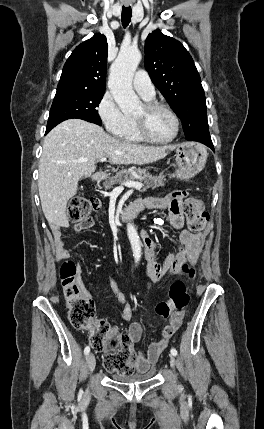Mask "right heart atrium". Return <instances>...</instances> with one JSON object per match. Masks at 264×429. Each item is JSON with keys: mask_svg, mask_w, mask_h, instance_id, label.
Here are the masks:
<instances>
[{"mask_svg": "<svg viewBox=\"0 0 264 429\" xmlns=\"http://www.w3.org/2000/svg\"><path fill=\"white\" fill-rule=\"evenodd\" d=\"M96 112L106 131L113 136H120L128 125V117L109 92L101 97Z\"/></svg>", "mask_w": 264, "mask_h": 429, "instance_id": "d8ad5b80", "label": "right heart atrium"}]
</instances>
